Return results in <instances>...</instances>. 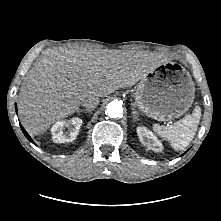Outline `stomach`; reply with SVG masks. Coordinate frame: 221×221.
<instances>
[{
  "label": "stomach",
  "mask_w": 221,
  "mask_h": 221,
  "mask_svg": "<svg viewBox=\"0 0 221 221\" xmlns=\"http://www.w3.org/2000/svg\"><path fill=\"white\" fill-rule=\"evenodd\" d=\"M157 66L148 72L135 92V103L145 115L158 121H170L182 116L192 105L194 82L184 70Z\"/></svg>",
  "instance_id": "obj_1"
}]
</instances>
